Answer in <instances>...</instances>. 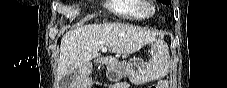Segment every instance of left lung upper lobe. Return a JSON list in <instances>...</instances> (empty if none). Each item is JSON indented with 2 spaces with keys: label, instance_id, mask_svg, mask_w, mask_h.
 I'll return each mask as SVG.
<instances>
[{
  "label": "left lung upper lobe",
  "instance_id": "left-lung-upper-lobe-1",
  "mask_svg": "<svg viewBox=\"0 0 227 88\" xmlns=\"http://www.w3.org/2000/svg\"><path fill=\"white\" fill-rule=\"evenodd\" d=\"M158 1L163 3V4H170L171 0H158Z\"/></svg>",
  "mask_w": 227,
  "mask_h": 88
}]
</instances>
